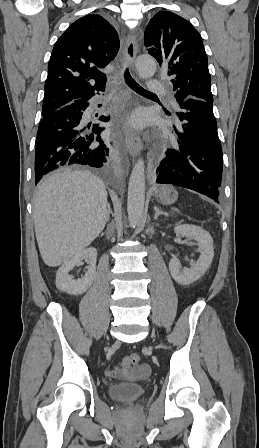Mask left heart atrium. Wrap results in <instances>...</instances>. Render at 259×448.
I'll use <instances>...</instances> for the list:
<instances>
[{
    "instance_id": "left-heart-atrium-1",
    "label": "left heart atrium",
    "mask_w": 259,
    "mask_h": 448,
    "mask_svg": "<svg viewBox=\"0 0 259 448\" xmlns=\"http://www.w3.org/2000/svg\"><path fill=\"white\" fill-rule=\"evenodd\" d=\"M135 123L140 125L142 123V116L140 114H137L135 117ZM183 154V151L181 150H171L166 152L167 158L170 160H178L181 155Z\"/></svg>"
}]
</instances>
